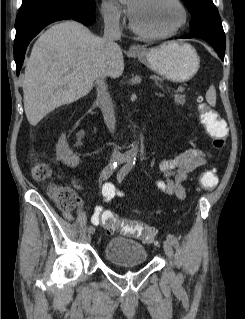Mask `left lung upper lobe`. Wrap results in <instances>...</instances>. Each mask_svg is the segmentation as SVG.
<instances>
[{
	"instance_id": "5c2ea615",
	"label": "left lung upper lobe",
	"mask_w": 245,
	"mask_h": 319,
	"mask_svg": "<svg viewBox=\"0 0 245 319\" xmlns=\"http://www.w3.org/2000/svg\"><path fill=\"white\" fill-rule=\"evenodd\" d=\"M189 8L192 23L190 35L207 39L225 47V33L220 15L212 0H183Z\"/></svg>"
}]
</instances>
